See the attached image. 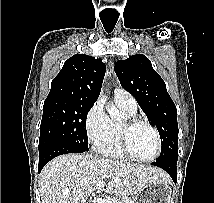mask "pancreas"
Segmentation results:
<instances>
[{"mask_svg":"<svg viewBox=\"0 0 214 203\" xmlns=\"http://www.w3.org/2000/svg\"><path fill=\"white\" fill-rule=\"evenodd\" d=\"M114 201L115 203H134L132 200H130L127 197H117Z\"/></svg>","mask_w":214,"mask_h":203,"instance_id":"cf45deb5","label":"pancreas"}]
</instances>
